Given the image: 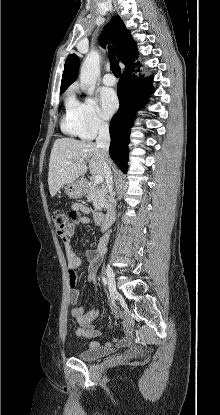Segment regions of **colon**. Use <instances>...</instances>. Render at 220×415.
<instances>
[{
    "label": "colon",
    "instance_id": "colon-1",
    "mask_svg": "<svg viewBox=\"0 0 220 415\" xmlns=\"http://www.w3.org/2000/svg\"><path fill=\"white\" fill-rule=\"evenodd\" d=\"M70 215V212L68 213L65 210H56L53 212L52 219L58 235L64 234L70 222Z\"/></svg>",
    "mask_w": 220,
    "mask_h": 415
}]
</instances>
